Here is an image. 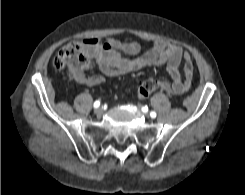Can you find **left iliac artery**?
<instances>
[{"label":"left iliac artery","mask_w":245,"mask_h":195,"mask_svg":"<svg viewBox=\"0 0 245 195\" xmlns=\"http://www.w3.org/2000/svg\"><path fill=\"white\" fill-rule=\"evenodd\" d=\"M150 116H151V118H155V117H156V112L151 111V112H150Z\"/></svg>","instance_id":"1"}]
</instances>
